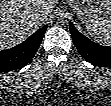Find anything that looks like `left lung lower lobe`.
Segmentation results:
<instances>
[{"mask_svg":"<svg viewBox=\"0 0 111 106\" xmlns=\"http://www.w3.org/2000/svg\"><path fill=\"white\" fill-rule=\"evenodd\" d=\"M72 40L82 57L99 67H111V47L92 42L70 23Z\"/></svg>","mask_w":111,"mask_h":106,"instance_id":"left-lung-lower-lobe-1","label":"left lung lower lobe"}]
</instances>
